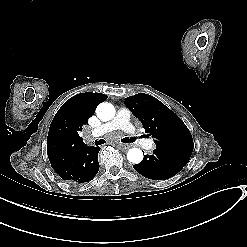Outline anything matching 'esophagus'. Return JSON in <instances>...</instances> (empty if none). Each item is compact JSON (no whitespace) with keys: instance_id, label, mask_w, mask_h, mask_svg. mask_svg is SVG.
<instances>
[{"instance_id":"1","label":"esophagus","mask_w":247,"mask_h":247,"mask_svg":"<svg viewBox=\"0 0 247 247\" xmlns=\"http://www.w3.org/2000/svg\"><path fill=\"white\" fill-rule=\"evenodd\" d=\"M117 148L124 151L130 148V145H126V144H119L117 145Z\"/></svg>"}]
</instances>
